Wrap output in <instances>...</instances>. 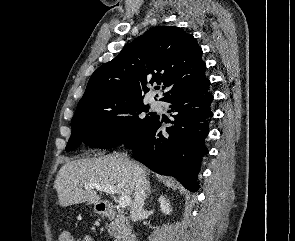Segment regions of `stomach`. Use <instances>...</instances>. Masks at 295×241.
I'll return each instance as SVG.
<instances>
[{"mask_svg":"<svg viewBox=\"0 0 295 241\" xmlns=\"http://www.w3.org/2000/svg\"><path fill=\"white\" fill-rule=\"evenodd\" d=\"M100 204H101V203H97V204H95V205H94V210H95V212L98 213V214H103V213H104V208H102V207L100 206Z\"/></svg>","mask_w":295,"mask_h":241,"instance_id":"stomach-1","label":"stomach"}]
</instances>
